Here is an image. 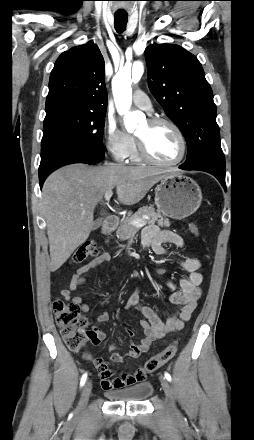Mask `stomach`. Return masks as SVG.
<instances>
[{
    "instance_id": "obj_1",
    "label": "stomach",
    "mask_w": 254,
    "mask_h": 440,
    "mask_svg": "<svg viewBox=\"0 0 254 440\" xmlns=\"http://www.w3.org/2000/svg\"><path fill=\"white\" fill-rule=\"evenodd\" d=\"M201 201L199 185L193 179L176 172L165 174L155 190L158 211L176 220L195 213Z\"/></svg>"
}]
</instances>
